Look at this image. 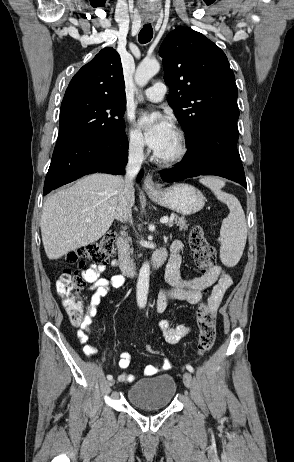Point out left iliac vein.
<instances>
[{
    "mask_svg": "<svg viewBox=\"0 0 294 462\" xmlns=\"http://www.w3.org/2000/svg\"><path fill=\"white\" fill-rule=\"evenodd\" d=\"M183 382L186 387L191 388L193 384V378L192 375L189 372H185L183 374Z\"/></svg>",
    "mask_w": 294,
    "mask_h": 462,
    "instance_id": "left-iliac-vein-1",
    "label": "left iliac vein"
}]
</instances>
